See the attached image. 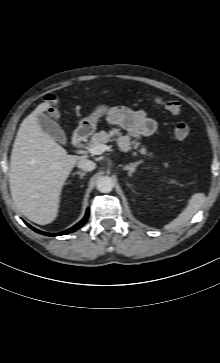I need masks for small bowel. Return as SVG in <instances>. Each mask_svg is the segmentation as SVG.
I'll return each mask as SVG.
<instances>
[{
	"instance_id": "1",
	"label": "small bowel",
	"mask_w": 220,
	"mask_h": 363,
	"mask_svg": "<svg viewBox=\"0 0 220 363\" xmlns=\"http://www.w3.org/2000/svg\"><path fill=\"white\" fill-rule=\"evenodd\" d=\"M106 120L111 124L124 127L134 139L149 137L157 128V122L150 118L144 110L119 109L109 111Z\"/></svg>"
}]
</instances>
